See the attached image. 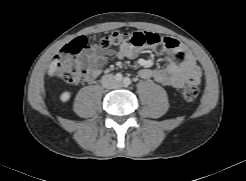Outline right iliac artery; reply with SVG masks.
<instances>
[{
	"label": "right iliac artery",
	"instance_id": "1",
	"mask_svg": "<svg viewBox=\"0 0 246 181\" xmlns=\"http://www.w3.org/2000/svg\"><path fill=\"white\" fill-rule=\"evenodd\" d=\"M123 79V76L121 73L116 74V80L121 81Z\"/></svg>",
	"mask_w": 246,
	"mask_h": 181
}]
</instances>
